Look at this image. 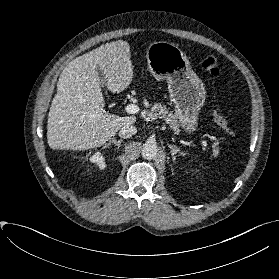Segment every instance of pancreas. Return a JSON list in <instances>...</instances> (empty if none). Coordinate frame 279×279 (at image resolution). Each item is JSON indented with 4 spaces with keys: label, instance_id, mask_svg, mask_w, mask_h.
<instances>
[{
    "label": "pancreas",
    "instance_id": "pancreas-1",
    "mask_svg": "<svg viewBox=\"0 0 279 279\" xmlns=\"http://www.w3.org/2000/svg\"><path fill=\"white\" fill-rule=\"evenodd\" d=\"M150 114L154 117L164 119L170 128L175 132H179V121L176 113L170 112L165 105L155 103L150 110Z\"/></svg>",
    "mask_w": 279,
    "mask_h": 279
}]
</instances>
